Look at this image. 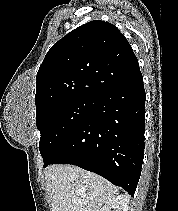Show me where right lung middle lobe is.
Returning a JSON list of instances; mask_svg holds the SVG:
<instances>
[{
	"instance_id": "1",
	"label": "right lung middle lobe",
	"mask_w": 178,
	"mask_h": 211,
	"mask_svg": "<svg viewBox=\"0 0 178 211\" xmlns=\"http://www.w3.org/2000/svg\"><path fill=\"white\" fill-rule=\"evenodd\" d=\"M96 99L73 98L59 101L36 112L41 133L39 149L43 159L87 117Z\"/></svg>"
}]
</instances>
